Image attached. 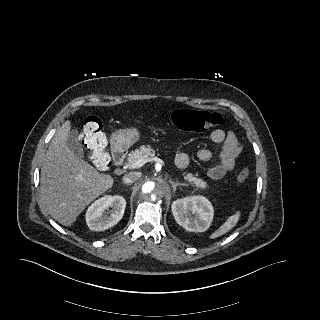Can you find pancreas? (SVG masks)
<instances>
[{"mask_svg":"<svg viewBox=\"0 0 320 320\" xmlns=\"http://www.w3.org/2000/svg\"><path fill=\"white\" fill-rule=\"evenodd\" d=\"M154 156H155V151L153 148H151V146H149V145L141 146L139 150L137 149L135 151H132L129 154L128 162L131 163V162H135L140 159L146 160V159H150ZM183 176H184V179L186 181H188L189 184L194 185L197 188L205 189L208 187V184L205 181H203L200 178L195 177L191 173L184 172Z\"/></svg>","mask_w":320,"mask_h":320,"instance_id":"cf45deb5","label":"pancreas"}]
</instances>
